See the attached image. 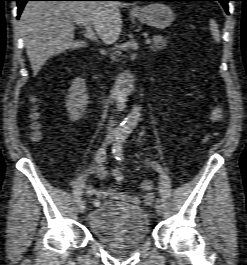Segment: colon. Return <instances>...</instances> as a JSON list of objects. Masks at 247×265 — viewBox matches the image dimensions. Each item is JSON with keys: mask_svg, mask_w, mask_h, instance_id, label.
<instances>
[{"mask_svg": "<svg viewBox=\"0 0 247 265\" xmlns=\"http://www.w3.org/2000/svg\"><path fill=\"white\" fill-rule=\"evenodd\" d=\"M32 116H33V119H34V122L32 124V129H33L32 136H33V139L39 140L40 139V132H39L40 126H39V123L37 121V119H38V113H37V111H36L35 108L33 110ZM211 118H212V121L214 123H220L222 121V118H223L222 109L219 106H214L213 107L212 113H211ZM215 136H216L215 133L211 134L207 138V141L212 140ZM112 174H113V177H114V179L116 181L122 182L124 180V174L119 169H114L113 172H112Z\"/></svg>", "mask_w": 247, "mask_h": 265, "instance_id": "obj_1", "label": "colon"}]
</instances>
